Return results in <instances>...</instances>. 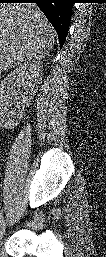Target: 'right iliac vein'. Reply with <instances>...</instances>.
Listing matches in <instances>:
<instances>
[{"label":"right iliac vein","mask_w":106,"mask_h":257,"mask_svg":"<svg viewBox=\"0 0 106 257\" xmlns=\"http://www.w3.org/2000/svg\"><path fill=\"white\" fill-rule=\"evenodd\" d=\"M5 226H6V223H5V221H3V223L1 224V234H2V232H4L5 231Z\"/></svg>","instance_id":"1"}]
</instances>
